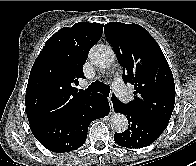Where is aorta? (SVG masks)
Returning <instances> with one entry per match:
<instances>
[{"label":"aorta","mask_w":196,"mask_h":166,"mask_svg":"<svg viewBox=\"0 0 196 166\" xmlns=\"http://www.w3.org/2000/svg\"><path fill=\"white\" fill-rule=\"evenodd\" d=\"M89 57L92 63L100 68H108L115 61V54L111 47L101 44L92 47ZM109 122L112 130L117 133L124 132L128 127V120L122 113L111 115Z\"/></svg>","instance_id":"aorta-1"}]
</instances>
